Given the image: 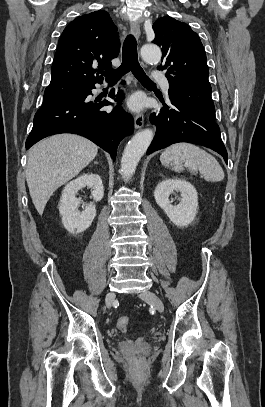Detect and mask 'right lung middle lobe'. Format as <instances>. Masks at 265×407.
Returning <instances> with one entry per match:
<instances>
[{"label": "right lung middle lobe", "instance_id": "obj_1", "mask_svg": "<svg viewBox=\"0 0 265 407\" xmlns=\"http://www.w3.org/2000/svg\"><path fill=\"white\" fill-rule=\"evenodd\" d=\"M85 85L74 83L50 84L44 92L43 104L48 105L58 101H64L76 96Z\"/></svg>", "mask_w": 265, "mask_h": 407}]
</instances>
